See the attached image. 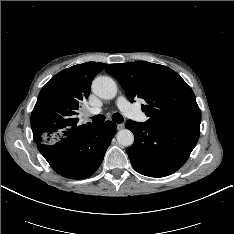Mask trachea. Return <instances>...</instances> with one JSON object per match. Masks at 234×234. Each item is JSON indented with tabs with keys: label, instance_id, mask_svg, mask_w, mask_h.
Returning a JSON list of instances; mask_svg holds the SVG:
<instances>
[{
	"label": "trachea",
	"instance_id": "1",
	"mask_svg": "<svg viewBox=\"0 0 234 234\" xmlns=\"http://www.w3.org/2000/svg\"><path fill=\"white\" fill-rule=\"evenodd\" d=\"M105 120L104 115H96L92 118L93 123H102ZM112 120L116 123H122L124 121L123 116L119 113H115L112 116Z\"/></svg>",
	"mask_w": 234,
	"mask_h": 234
}]
</instances>
